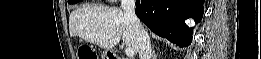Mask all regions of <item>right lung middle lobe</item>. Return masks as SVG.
Listing matches in <instances>:
<instances>
[{
    "label": "right lung middle lobe",
    "instance_id": "right-lung-middle-lobe-1",
    "mask_svg": "<svg viewBox=\"0 0 261 59\" xmlns=\"http://www.w3.org/2000/svg\"><path fill=\"white\" fill-rule=\"evenodd\" d=\"M78 2H80V0H71V1H69L68 3H70V4H75V3H78Z\"/></svg>",
    "mask_w": 261,
    "mask_h": 59
}]
</instances>
